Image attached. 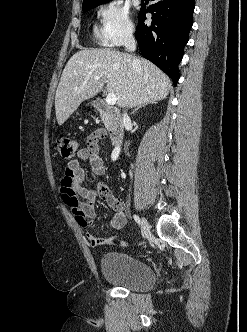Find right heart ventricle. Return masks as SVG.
I'll return each instance as SVG.
<instances>
[{
  "instance_id": "e07e8e85",
  "label": "right heart ventricle",
  "mask_w": 247,
  "mask_h": 332,
  "mask_svg": "<svg viewBox=\"0 0 247 332\" xmlns=\"http://www.w3.org/2000/svg\"><path fill=\"white\" fill-rule=\"evenodd\" d=\"M95 35H96L97 38H99L100 40H102L101 35L99 34V32L96 29H95Z\"/></svg>"
}]
</instances>
